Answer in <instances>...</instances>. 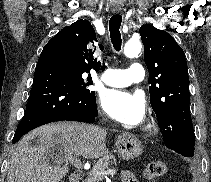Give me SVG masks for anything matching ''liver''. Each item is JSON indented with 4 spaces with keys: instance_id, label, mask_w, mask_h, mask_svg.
<instances>
[{
    "instance_id": "1",
    "label": "liver",
    "mask_w": 211,
    "mask_h": 182,
    "mask_svg": "<svg viewBox=\"0 0 211 182\" xmlns=\"http://www.w3.org/2000/svg\"><path fill=\"white\" fill-rule=\"evenodd\" d=\"M106 135L105 129L74 122L34 129L10 153L7 182H59L69 172L67 155L92 159L107 154ZM36 137L39 144L34 145ZM55 147L62 156L48 160L47 154Z\"/></svg>"
}]
</instances>
